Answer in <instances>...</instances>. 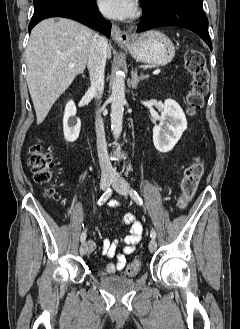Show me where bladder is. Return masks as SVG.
<instances>
[{"instance_id": "obj_1", "label": "bladder", "mask_w": 240, "mask_h": 329, "mask_svg": "<svg viewBox=\"0 0 240 329\" xmlns=\"http://www.w3.org/2000/svg\"><path fill=\"white\" fill-rule=\"evenodd\" d=\"M135 278L112 275L103 277L99 280L100 285L112 292H121L125 289L132 288L135 285Z\"/></svg>"}]
</instances>
